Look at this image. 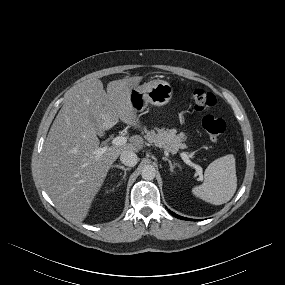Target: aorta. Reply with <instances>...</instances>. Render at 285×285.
<instances>
[{
	"instance_id": "1",
	"label": "aorta",
	"mask_w": 285,
	"mask_h": 285,
	"mask_svg": "<svg viewBox=\"0 0 285 285\" xmlns=\"http://www.w3.org/2000/svg\"><path fill=\"white\" fill-rule=\"evenodd\" d=\"M156 175V170L153 166L147 165L143 167L141 176L144 180H153Z\"/></svg>"
}]
</instances>
